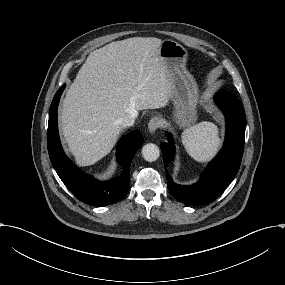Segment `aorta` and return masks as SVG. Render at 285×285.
<instances>
[{
    "mask_svg": "<svg viewBox=\"0 0 285 285\" xmlns=\"http://www.w3.org/2000/svg\"><path fill=\"white\" fill-rule=\"evenodd\" d=\"M142 156L148 162L156 161L160 156V150L157 145L148 143L142 148Z\"/></svg>",
    "mask_w": 285,
    "mask_h": 285,
    "instance_id": "1",
    "label": "aorta"
}]
</instances>
